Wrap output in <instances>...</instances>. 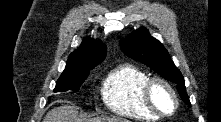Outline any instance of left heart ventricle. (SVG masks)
Wrapping results in <instances>:
<instances>
[{
  "label": "left heart ventricle",
  "mask_w": 221,
  "mask_h": 122,
  "mask_svg": "<svg viewBox=\"0 0 221 122\" xmlns=\"http://www.w3.org/2000/svg\"><path fill=\"white\" fill-rule=\"evenodd\" d=\"M153 100L162 112L169 113L174 108V101L170 92L161 85H156L154 87Z\"/></svg>",
  "instance_id": "1"
}]
</instances>
